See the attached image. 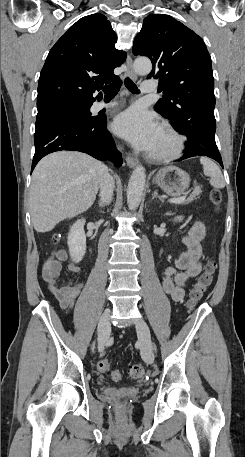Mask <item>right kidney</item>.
<instances>
[{
    "label": "right kidney",
    "instance_id": "obj_1",
    "mask_svg": "<svg viewBox=\"0 0 245 457\" xmlns=\"http://www.w3.org/2000/svg\"><path fill=\"white\" fill-rule=\"evenodd\" d=\"M85 218H78L69 231L67 245L74 263H80L86 253Z\"/></svg>",
    "mask_w": 245,
    "mask_h": 457
}]
</instances>
